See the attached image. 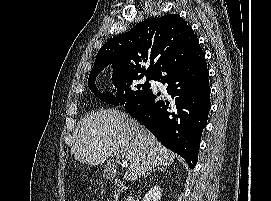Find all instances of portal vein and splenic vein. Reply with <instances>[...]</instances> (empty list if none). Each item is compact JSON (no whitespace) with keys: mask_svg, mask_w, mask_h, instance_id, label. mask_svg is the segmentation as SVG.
I'll return each instance as SVG.
<instances>
[{"mask_svg":"<svg viewBox=\"0 0 271 201\" xmlns=\"http://www.w3.org/2000/svg\"><path fill=\"white\" fill-rule=\"evenodd\" d=\"M116 156L122 157L119 154H115ZM128 160H123L121 163L122 168H127L128 167Z\"/></svg>","mask_w":271,"mask_h":201,"instance_id":"obj_1","label":"portal vein and splenic vein"}]
</instances>
